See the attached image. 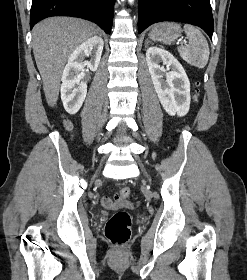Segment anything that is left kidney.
<instances>
[{
	"label": "left kidney",
	"instance_id": "5707ae66",
	"mask_svg": "<svg viewBox=\"0 0 247 280\" xmlns=\"http://www.w3.org/2000/svg\"><path fill=\"white\" fill-rule=\"evenodd\" d=\"M146 62L164 110L171 116H185L191 98L190 82L182 65L170 52L157 47L147 49ZM161 63L170 71L166 72Z\"/></svg>",
	"mask_w": 247,
	"mask_h": 280
}]
</instances>
